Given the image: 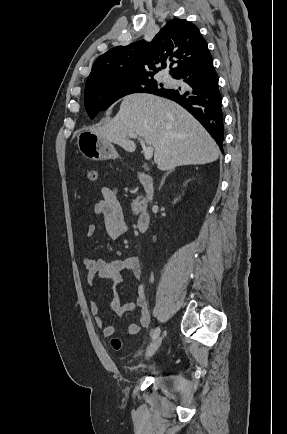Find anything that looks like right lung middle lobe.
Masks as SVG:
<instances>
[{"label":"right lung middle lobe","mask_w":287,"mask_h":434,"mask_svg":"<svg viewBox=\"0 0 287 434\" xmlns=\"http://www.w3.org/2000/svg\"><path fill=\"white\" fill-rule=\"evenodd\" d=\"M151 76L112 79L86 84L84 103L90 118L107 109L119 98L137 92L153 93L165 89Z\"/></svg>","instance_id":"right-lung-middle-lobe-1"}]
</instances>
